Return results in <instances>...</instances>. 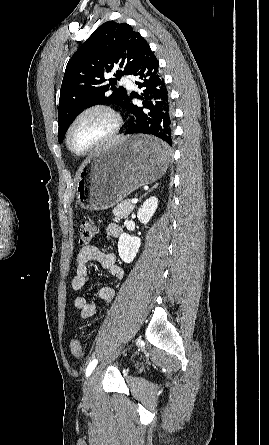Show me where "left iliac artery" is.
Returning <instances> with one entry per match:
<instances>
[{
    "mask_svg": "<svg viewBox=\"0 0 269 445\" xmlns=\"http://www.w3.org/2000/svg\"><path fill=\"white\" fill-rule=\"evenodd\" d=\"M97 365V359L92 360L86 368V377H88Z\"/></svg>",
    "mask_w": 269,
    "mask_h": 445,
    "instance_id": "obj_1",
    "label": "left iliac artery"
}]
</instances>
